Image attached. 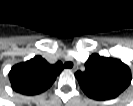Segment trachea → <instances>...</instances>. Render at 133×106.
I'll list each match as a JSON object with an SVG mask.
<instances>
[{
	"mask_svg": "<svg viewBox=\"0 0 133 106\" xmlns=\"http://www.w3.org/2000/svg\"><path fill=\"white\" fill-rule=\"evenodd\" d=\"M64 67H65V68H72V67H73V63H72V62H66V63L64 64Z\"/></svg>",
	"mask_w": 133,
	"mask_h": 106,
	"instance_id": "3493384b",
	"label": "trachea"
}]
</instances>
